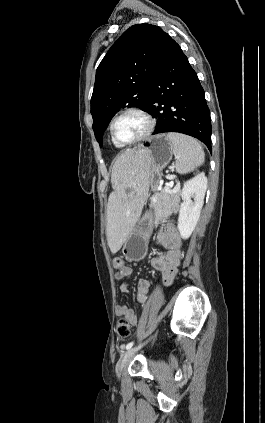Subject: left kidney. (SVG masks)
<instances>
[{
    "label": "left kidney",
    "instance_id": "obj_1",
    "mask_svg": "<svg viewBox=\"0 0 265 423\" xmlns=\"http://www.w3.org/2000/svg\"><path fill=\"white\" fill-rule=\"evenodd\" d=\"M207 190V177L199 173L183 185L177 228L183 239H188L200 217ZM193 199V200H192Z\"/></svg>",
    "mask_w": 265,
    "mask_h": 423
}]
</instances>
